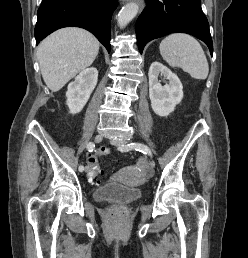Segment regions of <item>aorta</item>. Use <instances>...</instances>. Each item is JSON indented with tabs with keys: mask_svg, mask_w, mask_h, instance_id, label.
<instances>
[{
	"mask_svg": "<svg viewBox=\"0 0 248 258\" xmlns=\"http://www.w3.org/2000/svg\"><path fill=\"white\" fill-rule=\"evenodd\" d=\"M139 10L138 4L129 3L125 5L118 14V25L123 28L137 15Z\"/></svg>",
	"mask_w": 248,
	"mask_h": 258,
	"instance_id": "aorta-1",
	"label": "aorta"
}]
</instances>
